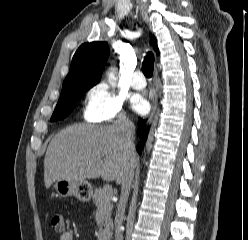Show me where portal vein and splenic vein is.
I'll return each mask as SVG.
<instances>
[{
	"label": "portal vein and splenic vein",
	"mask_w": 248,
	"mask_h": 240,
	"mask_svg": "<svg viewBox=\"0 0 248 240\" xmlns=\"http://www.w3.org/2000/svg\"><path fill=\"white\" fill-rule=\"evenodd\" d=\"M103 190L104 192L107 194V195H112V186L109 185V184H106L104 187H103Z\"/></svg>",
	"instance_id": "obj_1"
}]
</instances>
